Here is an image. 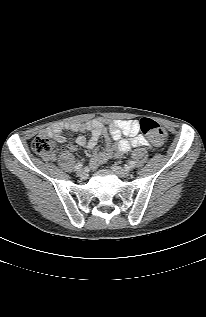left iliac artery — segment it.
<instances>
[{
    "instance_id": "obj_1",
    "label": "left iliac artery",
    "mask_w": 206,
    "mask_h": 317,
    "mask_svg": "<svg viewBox=\"0 0 206 317\" xmlns=\"http://www.w3.org/2000/svg\"><path fill=\"white\" fill-rule=\"evenodd\" d=\"M134 166H135V162L134 161H129L128 168L132 169V168H134Z\"/></svg>"
}]
</instances>
